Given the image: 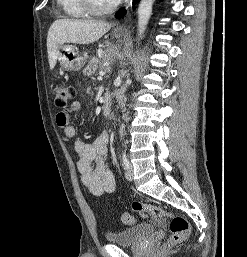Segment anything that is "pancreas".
<instances>
[{
	"instance_id": "cf45deb5",
	"label": "pancreas",
	"mask_w": 247,
	"mask_h": 257,
	"mask_svg": "<svg viewBox=\"0 0 247 257\" xmlns=\"http://www.w3.org/2000/svg\"><path fill=\"white\" fill-rule=\"evenodd\" d=\"M106 61L107 59L105 57V53H103L102 59H91L86 67L83 69V74L87 77H92L98 68L101 70L108 69V66L104 65Z\"/></svg>"
}]
</instances>
